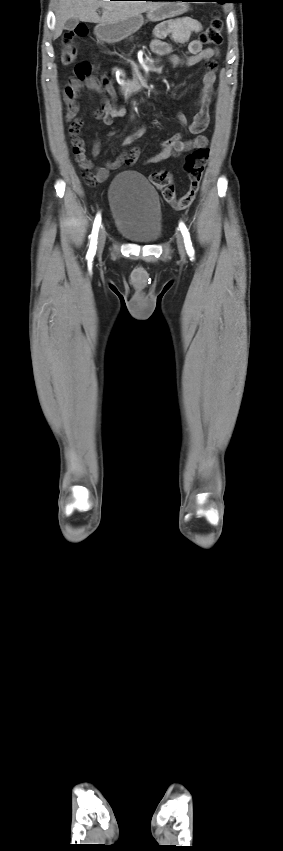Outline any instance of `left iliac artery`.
Here are the masks:
<instances>
[{"mask_svg":"<svg viewBox=\"0 0 283 851\" xmlns=\"http://www.w3.org/2000/svg\"><path fill=\"white\" fill-rule=\"evenodd\" d=\"M179 227H180L181 233L184 237V243H185L187 253H188L189 256H193L194 255V249L192 247V242H191V239H190V234L188 232V229L183 222H180Z\"/></svg>","mask_w":283,"mask_h":851,"instance_id":"obj_1","label":"left iliac artery"}]
</instances>
